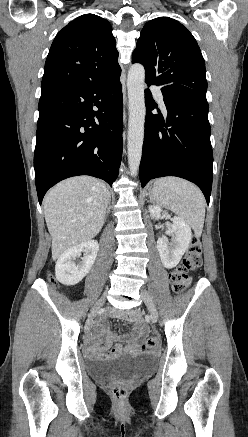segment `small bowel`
I'll list each match as a JSON object with an SVG mask.
<instances>
[{
    "label": "small bowel",
    "mask_w": 248,
    "mask_h": 437,
    "mask_svg": "<svg viewBox=\"0 0 248 437\" xmlns=\"http://www.w3.org/2000/svg\"><path fill=\"white\" fill-rule=\"evenodd\" d=\"M143 333L144 329L139 325L134 334L121 337L110 332L106 322L102 320L98 324L95 333L87 338L86 353L91 358H106L124 350L130 352L136 351L139 347L137 341L143 335ZM102 341L103 343L101 344ZM115 341H122L124 343L116 344L115 347L112 348L109 353H107V350Z\"/></svg>",
    "instance_id": "1"
}]
</instances>
